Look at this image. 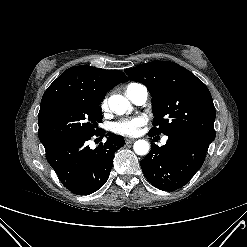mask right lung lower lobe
<instances>
[{
	"label": "right lung lower lobe",
	"mask_w": 247,
	"mask_h": 247,
	"mask_svg": "<svg viewBox=\"0 0 247 247\" xmlns=\"http://www.w3.org/2000/svg\"><path fill=\"white\" fill-rule=\"evenodd\" d=\"M105 131L86 136H72L44 146L46 159L61 183L74 194L87 195L99 190L107 181L114 153L125 142L122 136L108 133L107 141L94 150L87 141L104 136Z\"/></svg>",
	"instance_id": "98d812e1"
}]
</instances>
